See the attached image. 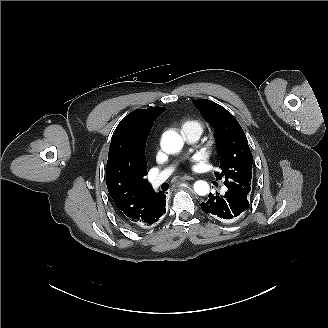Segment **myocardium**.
<instances>
[{
    "label": "myocardium",
    "instance_id": "myocardium-1",
    "mask_svg": "<svg viewBox=\"0 0 328 328\" xmlns=\"http://www.w3.org/2000/svg\"><path fill=\"white\" fill-rule=\"evenodd\" d=\"M215 151V140H209L201 143L198 146V156L203 159L210 160L213 157Z\"/></svg>",
    "mask_w": 328,
    "mask_h": 328
}]
</instances>
